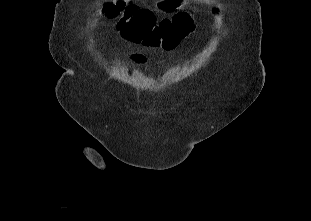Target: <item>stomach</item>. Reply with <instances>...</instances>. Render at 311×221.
<instances>
[{"label":"stomach","instance_id":"1","mask_svg":"<svg viewBox=\"0 0 311 221\" xmlns=\"http://www.w3.org/2000/svg\"><path fill=\"white\" fill-rule=\"evenodd\" d=\"M161 4H167V2H165V0H156L157 8H161ZM179 4H181L180 0H178L177 6H179Z\"/></svg>","mask_w":311,"mask_h":221}]
</instances>
